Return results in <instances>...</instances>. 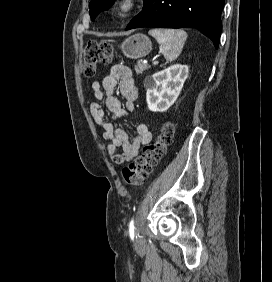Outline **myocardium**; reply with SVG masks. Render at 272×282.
<instances>
[{
    "label": "myocardium",
    "mask_w": 272,
    "mask_h": 282,
    "mask_svg": "<svg viewBox=\"0 0 272 282\" xmlns=\"http://www.w3.org/2000/svg\"><path fill=\"white\" fill-rule=\"evenodd\" d=\"M139 8V0H118L115 10L122 18L132 16Z\"/></svg>",
    "instance_id": "1"
}]
</instances>
